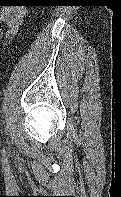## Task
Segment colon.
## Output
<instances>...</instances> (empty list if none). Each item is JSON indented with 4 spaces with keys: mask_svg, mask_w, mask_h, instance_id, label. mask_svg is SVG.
Returning <instances> with one entry per match:
<instances>
[{
    "mask_svg": "<svg viewBox=\"0 0 121 197\" xmlns=\"http://www.w3.org/2000/svg\"><path fill=\"white\" fill-rule=\"evenodd\" d=\"M2 35H3V27H2V24L0 22V39L2 38Z\"/></svg>",
    "mask_w": 121,
    "mask_h": 197,
    "instance_id": "1",
    "label": "colon"
}]
</instances>
